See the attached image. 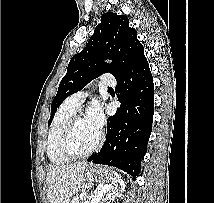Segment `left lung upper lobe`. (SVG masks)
Segmentation results:
<instances>
[{
    "label": "left lung upper lobe",
    "mask_w": 214,
    "mask_h": 203,
    "mask_svg": "<svg viewBox=\"0 0 214 203\" xmlns=\"http://www.w3.org/2000/svg\"><path fill=\"white\" fill-rule=\"evenodd\" d=\"M142 49L143 46L137 39V31L129 27V19L126 16L112 12L103 14L101 23L96 26L87 46L69 62L67 72L51 104L48 125L51 124L57 108L68 96L80 91L103 73L109 72L118 78ZM104 59H112L113 63H105Z\"/></svg>",
    "instance_id": "5c2ea615"
}]
</instances>
